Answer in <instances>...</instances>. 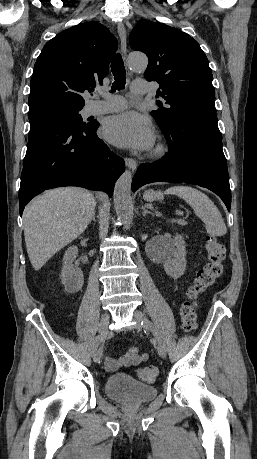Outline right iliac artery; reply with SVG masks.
Masks as SVG:
<instances>
[{
	"instance_id": "obj_1",
	"label": "right iliac artery",
	"mask_w": 257,
	"mask_h": 459,
	"mask_svg": "<svg viewBox=\"0 0 257 459\" xmlns=\"http://www.w3.org/2000/svg\"><path fill=\"white\" fill-rule=\"evenodd\" d=\"M104 338H105V336L98 335L93 339L92 345H91L92 353L98 348L99 344L104 340ZM101 352H102V350H101Z\"/></svg>"
}]
</instances>
